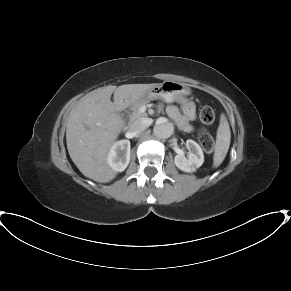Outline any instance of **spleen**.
I'll use <instances>...</instances> for the list:
<instances>
[{"mask_svg":"<svg viewBox=\"0 0 291 291\" xmlns=\"http://www.w3.org/2000/svg\"><path fill=\"white\" fill-rule=\"evenodd\" d=\"M231 140L230 127L224 114L220 116V123L217 129L216 144L213 155V166L219 167L224 161L229 150Z\"/></svg>","mask_w":291,"mask_h":291,"instance_id":"obj_1","label":"spleen"}]
</instances>
